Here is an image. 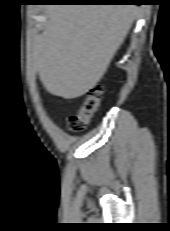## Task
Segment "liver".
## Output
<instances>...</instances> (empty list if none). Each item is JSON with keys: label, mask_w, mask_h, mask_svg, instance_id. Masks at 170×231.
Masks as SVG:
<instances>
[{"label": "liver", "mask_w": 170, "mask_h": 231, "mask_svg": "<svg viewBox=\"0 0 170 231\" xmlns=\"http://www.w3.org/2000/svg\"><path fill=\"white\" fill-rule=\"evenodd\" d=\"M134 5H52L32 47V64L52 95L74 99L93 88L123 43Z\"/></svg>", "instance_id": "liver-1"}]
</instances>
